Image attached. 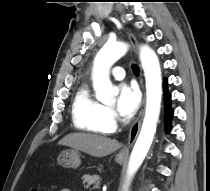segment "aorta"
Here are the masks:
<instances>
[{
  "label": "aorta",
  "mask_w": 210,
  "mask_h": 191,
  "mask_svg": "<svg viewBox=\"0 0 210 191\" xmlns=\"http://www.w3.org/2000/svg\"><path fill=\"white\" fill-rule=\"evenodd\" d=\"M125 42H107L98 52L92 68V80L96 99L103 104L114 102L119 93L110 80L112 65L128 51ZM140 61L146 81V109L140 134L130 155L128 179L141 166L152 144L160 115L162 98V76L159 59L147 45L140 46Z\"/></svg>",
  "instance_id": "obj_1"
}]
</instances>
